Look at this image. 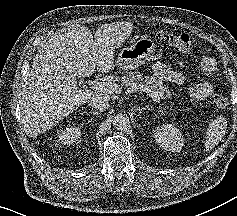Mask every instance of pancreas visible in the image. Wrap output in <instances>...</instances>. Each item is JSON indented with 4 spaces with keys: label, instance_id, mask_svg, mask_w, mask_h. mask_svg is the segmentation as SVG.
Listing matches in <instances>:
<instances>
[{
    "label": "pancreas",
    "instance_id": "obj_1",
    "mask_svg": "<svg viewBox=\"0 0 237 216\" xmlns=\"http://www.w3.org/2000/svg\"><path fill=\"white\" fill-rule=\"evenodd\" d=\"M125 86H132L135 84L138 89L146 92L150 97H153L156 93L161 98L171 96V92L163 86V83L152 76H143L142 73L128 72L123 78Z\"/></svg>",
    "mask_w": 237,
    "mask_h": 216
}]
</instances>
